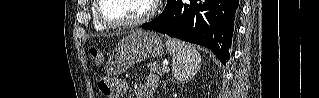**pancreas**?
<instances>
[{
    "instance_id": "pancreas-1",
    "label": "pancreas",
    "mask_w": 319,
    "mask_h": 98,
    "mask_svg": "<svg viewBox=\"0 0 319 98\" xmlns=\"http://www.w3.org/2000/svg\"><path fill=\"white\" fill-rule=\"evenodd\" d=\"M147 67L154 75L162 76L165 73L164 70L160 68V65L155 62L148 63Z\"/></svg>"
}]
</instances>
